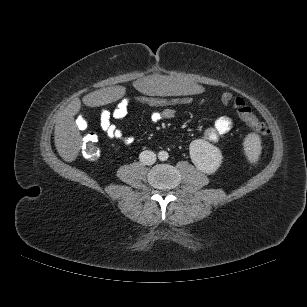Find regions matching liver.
Masks as SVG:
<instances>
[{"instance_id": "6515ba94", "label": "liver", "mask_w": 307, "mask_h": 307, "mask_svg": "<svg viewBox=\"0 0 307 307\" xmlns=\"http://www.w3.org/2000/svg\"><path fill=\"white\" fill-rule=\"evenodd\" d=\"M133 88L136 92L145 94L195 95L199 92L200 85L195 80L153 76L150 79H136ZM124 93V87L116 86L91 92L82 101L86 106L97 107L118 100ZM80 109L81 100L75 98L58 114L55 124V146L59 155L67 162L74 161L80 150L81 134L74 122V116Z\"/></svg>"}]
</instances>
